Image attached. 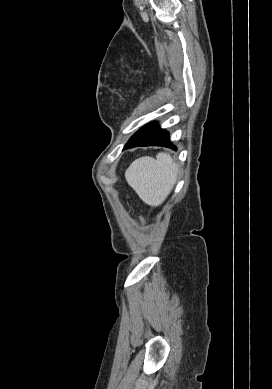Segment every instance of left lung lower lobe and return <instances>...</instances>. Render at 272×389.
<instances>
[{
	"instance_id": "obj_1",
	"label": "left lung lower lobe",
	"mask_w": 272,
	"mask_h": 389,
	"mask_svg": "<svg viewBox=\"0 0 272 389\" xmlns=\"http://www.w3.org/2000/svg\"><path fill=\"white\" fill-rule=\"evenodd\" d=\"M137 146H164L176 150L170 142L169 133L162 130L156 122H150L139 129L124 146V150Z\"/></svg>"
}]
</instances>
